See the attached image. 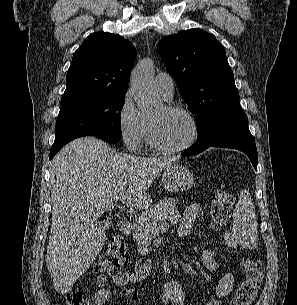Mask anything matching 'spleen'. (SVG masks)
<instances>
[{
  "mask_svg": "<svg viewBox=\"0 0 297 305\" xmlns=\"http://www.w3.org/2000/svg\"><path fill=\"white\" fill-rule=\"evenodd\" d=\"M233 231L242 240H246L248 246L253 248L257 244L258 231L257 220L249 190H242L233 211Z\"/></svg>",
  "mask_w": 297,
  "mask_h": 305,
  "instance_id": "obj_1",
  "label": "spleen"
}]
</instances>
